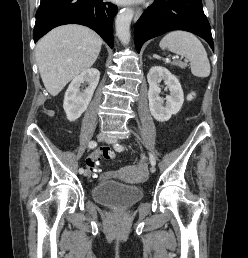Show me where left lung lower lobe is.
Returning <instances> with one entry per match:
<instances>
[{
	"label": "left lung lower lobe",
	"mask_w": 248,
	"mask_h": 258,
	"mask_svg": "<svg viewBox=\"0 0 248 258\" xmlns=\"http://www.w3.org/2000/svg\"><path fill=\"white\" fill-rule=\"evenodd\" d=\"M171 30L192 32L206 40L214 50L210 24L201 0H155L135 25L137 52L145 41Z\"/></svg>",
	"instance_id": "1"
}]
</instances>
